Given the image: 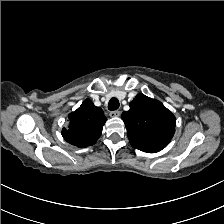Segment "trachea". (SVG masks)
Listing matches in <instances>:
<instances>
[{
  "mask_svg": "<svg viewBox=\"0 0 224 224\" xmlns=\"http://www.w3.org/2000/svg\"><path fill=\"white\" fill-rule=\"evenodd\" d=\"M119 108V100L115 97L111 98L108 104V109L110 111H115Z\"/></svg>",
  "mask_w": 224,
  "mask_h": 224,
  "instance_id": "1",
  "label": "trachea"
}]
</instances>
